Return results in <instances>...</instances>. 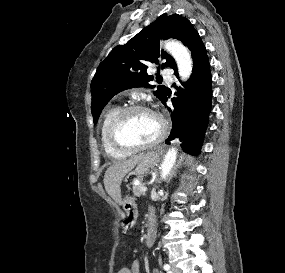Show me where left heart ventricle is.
Segmentation results:
<instances>
[{"mask_svg":"<svg viewBox=\"0 0 285 273\" xmlns=\"http://www.w3.org/2000/svg\"><path fill=\"white\" fill-rule=\"evenodd\" d=\"M160 125L156 118L144 111L129 114L122 123L119 137L130 145L147 143L157 137Z\"/></svg>","mask_w":285,"mask_h":273,"instance_id":"left-heart-ventricle-1","label":"left heart ventricle"}]
</instances>
